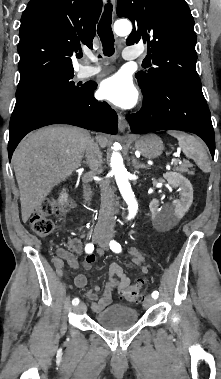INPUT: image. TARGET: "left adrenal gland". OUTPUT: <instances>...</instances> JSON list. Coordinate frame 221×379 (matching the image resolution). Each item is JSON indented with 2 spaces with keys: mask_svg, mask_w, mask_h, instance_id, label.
I'll return each instance as SVG.
<instances>
[{
  "mask_svg": "<svg viewBox=\"0 0 221 379\" xmlns=\"http://www.w3.org/2000/svg\"><path fill=\"white\" fill-rule=\"evenodd\" d=\"M132 164H133V167H134V169H136V170H138V169H140V168H146V165L145 164H141V163H139L137 160H136V158H132Z\"/></svg>",
  "mask_w": 221,
  "mask_h": 379,
  "instance_id": "obj_1",
  "label": "left adrenal gland"
}]
</instances>
